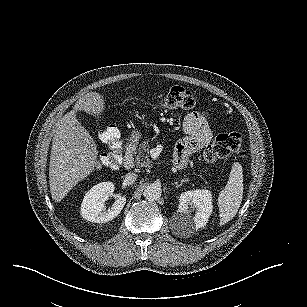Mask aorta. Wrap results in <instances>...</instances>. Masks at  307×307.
Segmentation results:
<instances>
[{
    "instance_id": "1",
    "label": "aorta",
    "mask_w": 307,
    "mask_h": 307,
    "mask_svg": "<svg viewBox=\"0 0 307 307\" xmlns=\"http://www.w3.org/2000/svg\"><path fill=\"white\" fill-rule=\"evenodd\" d=\"M161 195H162L161 186L154 183L148 184L143 191V196L148 201H156L161 197Z\"/></svg>"
}]
</instances>
